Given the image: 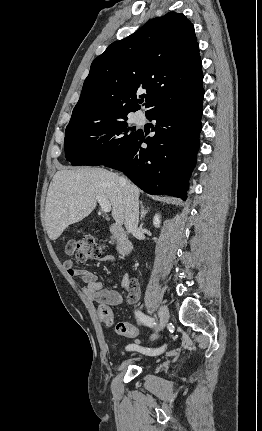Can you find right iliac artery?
Returning <instances> with one entry per match:
<instances>
[{"instance_id": "right-iliac-artery-1", "label": "right iliac artery", "mask_w": 262, "mask_h": 431, "mask_svg": "<svg viewBox=\"0 0 262 431\" xmlns=\"http://www.w3.org/2000/svg\"><path fill=\"white\" fill-rule=\"evenodd\" d=\"M137 321L145 326H149V327H154L156 325L155 320L153 318L148 317L147 315L143 314L141 311L137 310L135 312ZM126 350L130 351V350H141L143 351L145 354L148 355H157L160 354L164 351V346L157 348V349H144L140 346H138L137 344H129L126 347Z\"/></svg>"}]
</instances>
